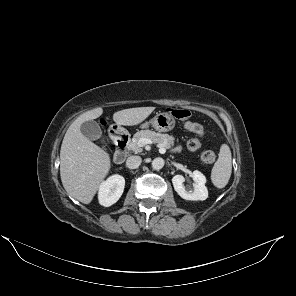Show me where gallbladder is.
<instances>
[{
    "mask_svg": "<svg viewBox=\"0 0 296 296\" xmlns=\"http://www.w3.org/2000/svg\"><path fill=\"white\" fill-rule=\"evenodd\" d=\"M81 133L89 140H98L102 137V131L96 121H85L80 127Z\"/></svg>",
    "mask_w": 296,
    "mask_h": 296,
    "instance_id": "gallbladder-1",
    "label": "gallbladder"
}]
</instances>
